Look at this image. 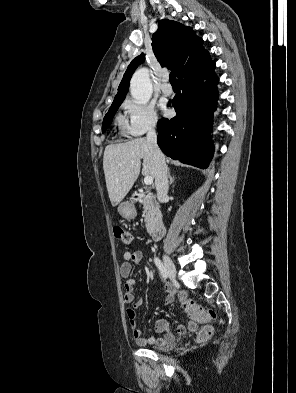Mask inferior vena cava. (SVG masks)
<instances>
[{
  "label": "inferior vena cava",
  "instance_id": "inferior-vena-cava-1",
  "mask_svg": "<svg viewBox=\"0 0 296 393\" xmlns=\"http://www.w3.org/2000/svg\"><path fill=\"white\" fill-rule=\"evenodd\" d=\"M146 141L152 153L156 168L155 187L157 190V198L160 202H163L168 197L167 194L169 189L167 166L165 163L164 155L158 147L157 133L154 127L149 129Z\"/></svg>",
  "mask_w": 296,
  "mask_h": 393
}]
</instances>
